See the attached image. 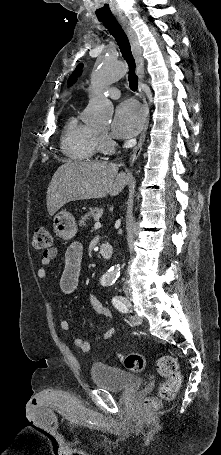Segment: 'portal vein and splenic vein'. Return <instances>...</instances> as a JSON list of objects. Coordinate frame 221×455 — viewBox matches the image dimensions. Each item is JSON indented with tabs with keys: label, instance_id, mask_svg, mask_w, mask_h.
Returning <instances> with one entry per match:
<instances>
[{
	"label": "portal vein and splenic vein",
	"instance_id": "1",
	"mask_svg": "<svg viewBox=\"0 0 221 455\" xmlns=\"http://www.w3.org/2000/svg\"><path fill=\"white\" fill-rule=\"evenodd\" d=\"M101 223L99 221H97L94 225L95 228H101Z\"/></svg>",
	"mask_w": 221,
	"mask_h": 455
}]
</instances>
